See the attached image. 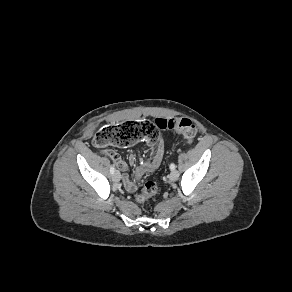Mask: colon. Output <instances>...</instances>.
<instances>
[{
    "mask_svg": "<svg viewBox=\"0 0 292 292\" xmlns=\"http://www.w3.org/2000/svg\"><path fill=\"white\" fill-rule=\"evenodd\" d=\"M169 128L175 130L188 144L196 135L195 125L186 118L147 119L124 121L117 124H105L95 134L93 144L97 147L128 146L140 140L155 142L160 135V129ZM158 191L155 181L145 183L142 190L135 195L139 203H144Z\"/></svg>",
    "mask_w": 292,
    "mask_h": 292,
    "instance_id": "1",
    "label": "colon"
}]
</instances>
